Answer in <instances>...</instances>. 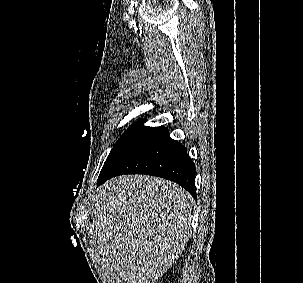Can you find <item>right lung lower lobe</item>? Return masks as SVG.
<instances>
[{"instance_id": "obj_1", "label": "right lung lower lobe", "mask_w": 303, "mask_h": 283, "mask_svg": "<svg viewBox=\"0 0 303 283\" xmlns=\"http://www.w3.org/2000/svg\"><path fill=\"white\" fill-rule=\"evenodd\" d=\"M123 174H146L171 180L196 196L195 164L186 148L169 137L164 126L149 127L104 175L97 185Z\"/></svg>"}]
</instances>
